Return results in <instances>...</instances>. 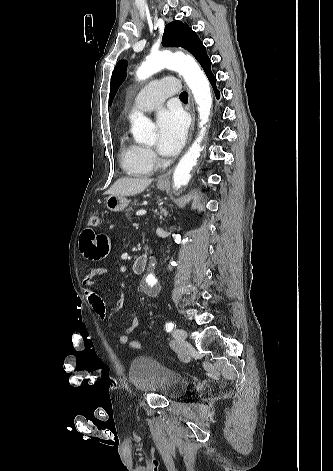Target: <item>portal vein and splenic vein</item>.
<instances>
[{"instance_id":"1","label":"portal vein and splenic vein","mask_w":333,"mask_h":471,"mask_svg":"<svg viewBox=\"0 0 333 471\" xmlns=\"http://www.w3.org/2000/svg\"><path fill=\"white\" fill-rule=\"evenodd\" d=\"M145 214H146V210H138V211L136 212V215H137V216H142V215H145Z\"/></svg>"}]
</instances>
